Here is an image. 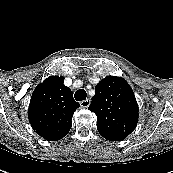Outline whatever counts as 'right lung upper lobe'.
Here are the masks:
<instances>
[{"label": "right lung upper lobe", "mask_w": 173, "mask_h": 173, "mask_svg": "<svg viewBox=\"0 0 173 173\" xmlns=\"http://www.w3.org/2000/svg\"><path fill=\"white\" fill-rule=\"evenodd\" d=\"M63 82V77L50 76L36 87L29 104L28 118L32 128L49 141L67 135L73 113L80 106Z\"/></svg>", "instance_id": "obj_1"}]
</instances>
